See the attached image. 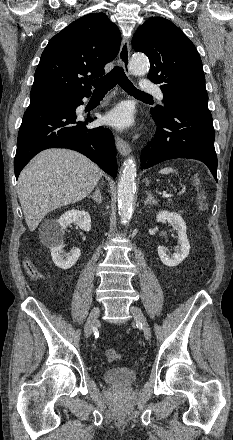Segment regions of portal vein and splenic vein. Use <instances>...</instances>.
I'll return each instance as SVG.
<instances>
[{"mask_svg":"<svg viewBox=\"0 0 233 440\" xmlns=\"http://www.w3.org/2000/svg\"><path fill=\"white\" fill-rule=\"evenodd\" d=\"M179 194H182V192H179ZM172 194H163V198H168V197H172Z\"/></svg>","mask_w":233,"mask_h":440,"instance_id":"portal-vein-and-splenic-vein-1","label":"portal vein and splenic vein"}]
</instances>
